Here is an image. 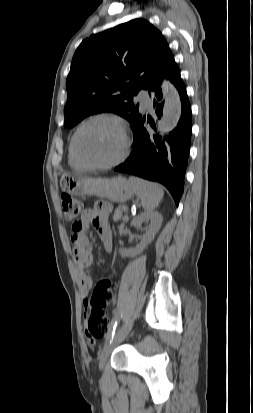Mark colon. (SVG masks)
Returning <instances> with one entry per match:
<instances>
[{"label":"colon","instance_id":"1","mask_svg":"<svg viewBox=\"0 0 253 413\" xmlns=\"http://www.w3.org/2000/svg\"><path fill=\"white\" fill-rule=\"evenodd\" d=\"M61 204L66 220L75 224L81 210L80 202L68 194H63ZM116 288L114 281L103 278L98 281L88 300L86 335L90 342L105 337L109 332L110 321L106 308L114 301Z\"/></svg>","mask_w":253,"mask_h":413}]
</instances>
